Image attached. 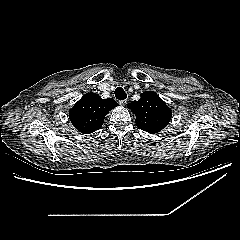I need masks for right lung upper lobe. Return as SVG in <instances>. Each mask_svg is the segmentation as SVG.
Segmentation results:
<instances>
[{
    "label": "right lung upper lobe",
    "mask_w": 240,
    "mask_h": 240,
    "mask_svg": "<svg viewBox=\"0 0 240 240\" xmlns=\"http://www.w3.org/2000/svg\"><path fill=\"white\" fill-rule=\"evenodd\" d=\"M118 106L112 99H102L96 93L85 94L70 110L69 117L71 123L81 133L90 134L99 129L106 114Z\"/></svg>",
    "instance_id": "cb5924a9"
}]
</instances>
